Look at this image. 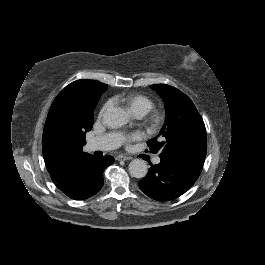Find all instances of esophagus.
I'll return each instance as SVG.
<instances>
[{
    "label": "esophagus",
    "instance_id": "34e87169",
    "mask_svg": "<svg viewBox=\"0 0 265 265\" xmlns=\"http://www.w3.org/2000/svg\"><path fill=\"white\" fill-rule=\"evenodd\" d=\"M115 159L118 160V161H127V160H131L132 157H130V156H124V155H117L115 157Z\"/></svg>",
    "mask_w": 265,
    "mask_h": 265
}]
</instances>
